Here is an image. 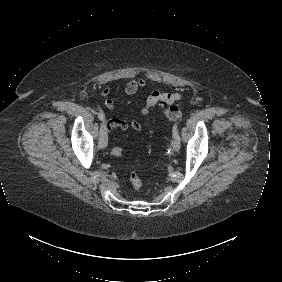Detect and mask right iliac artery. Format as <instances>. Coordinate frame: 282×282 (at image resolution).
Wrapping results in <instances>:
<instances>
[{
  "label": "right iliac artery",
  "instance_id": "82829eb1",
  "mask_svg": "<svg viewBox=\"0 0 282 282\" xmlns=\"http://www.w3.org/2000/svg\"><path fill=\"white\" fill-rule=\"evenodd\" d=\"M98 118L100 119V120H104V118H105V115H104V113L103 112H98Z\"/></svg>",
  "mask_w": 282,
  "mask_h": 282
}]
</instances>
